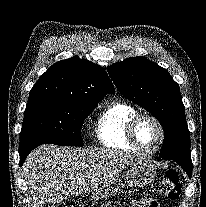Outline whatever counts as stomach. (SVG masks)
Wrapping results in <instances>:
<instances>
[{"mask_svg": "<svg viewBox=\"0 0 206 207\" xmlns=\"http://www.w3.org/2000/svg\"><path fill=\"white\" fill-rule=\"evenodd\" d=\"M155 174L156 168L152 161L139 158L128 170L121 175H116L105 185L102 198L114 195L128 185L145 186L150 184L154 180Z\"/></svg>", "mask_w": 206, "mask_h": 207, "instance_id": "0dacf381", "label": "stomach"}]
</instances>
